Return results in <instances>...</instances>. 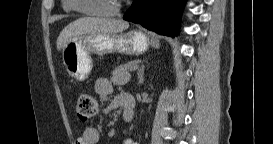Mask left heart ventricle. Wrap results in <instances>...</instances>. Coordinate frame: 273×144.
<instances>
[{
  "label": "left heart ventricle",
  "instance_id": "1",
  "mask_svg": "<svg viewBox=\"0 0 273 144\" xmlns=\"http://www.w3.org/2000/svg\"><path fill=\"white\" fill-rule=\"evenodd\" d=\"M116 4V0H81V5L89 10H109Z\"/></svg>",
  "mask_w": 273,
  "mask_h": 144
}]
</instances>
